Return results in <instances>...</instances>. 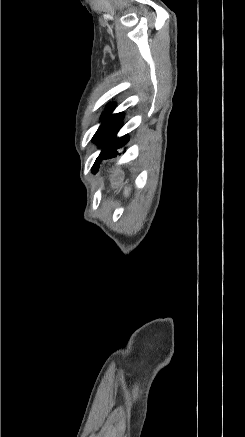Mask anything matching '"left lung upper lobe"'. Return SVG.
<instances>
[{"mask_svg":"<svg viewBox=\"0 0 245 437\" xmlns=\"http://www.w3.org/2000/svg\"><path fill=\"white\" fill-rule=\"evenodd\" d=\"M115 105L110 104L106 111L103 112L102 118L103 122L98 128L97 132L93 137V141L97 143L100 147H103L117 124L123 119V113L111 114ZM96 169L93 166V170Z\"/></svg>","mask_w":245,"mask_h":437,"instance_id":"1","label":"left lung upper lobe"}]
</instances>
